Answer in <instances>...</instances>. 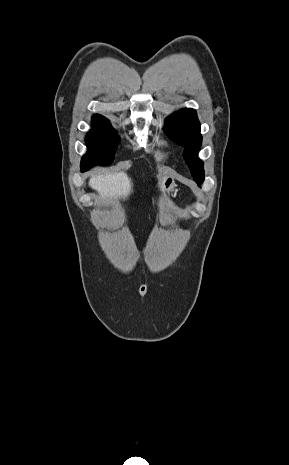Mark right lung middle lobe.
I'll list each match as a JSON object with an SVG mask.
<instances>
[{
  "label": "right lung middle lobe",
  "instance_id": "obj_1",
  "mask_svg": "<svg viewBox=\"0 0 289 465\" xmlns=\"http://www.w3.org/2000/svg\"><path fill=\"white\" fill-rule=\"evenodd\" d=\"M119 141L120 137L111 126L91 129L86 136L88 152L82 157L81 170L85 172L96 165L111 164Z\"/></svg>",
  "mask_w": 289,
  "mask_h": 465
}]
</instances>
